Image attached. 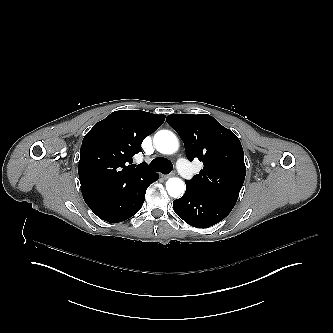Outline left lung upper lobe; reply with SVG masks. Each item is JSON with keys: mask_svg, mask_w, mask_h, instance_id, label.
<instances>
[{"mask_svg": "<svg viewBox=\"0 0 333 333\" xmlns=\"http://www.w3.org/2000/svg\"><path fill=\"white\" fill-rule=\"evenodd\" d=\"M184 142L187 158H198L203 170L186 186L195 192L237 201L246 167L238 137L207 114H174L166 118Z\"/></svg>", "mask_w": 333, "mask_h": 333, "instance_id": "1", "label": "left lung upper lobe"}]
</instances>
